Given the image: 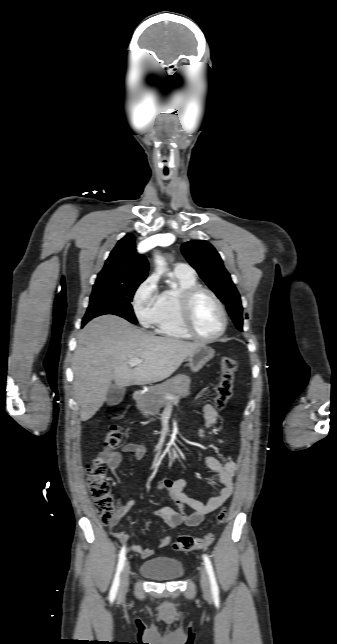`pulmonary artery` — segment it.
<instances>
[{
	"label": "pulmonary artery",
	"instance_id": "pulmonary-artery-1",
	"mask_svg": "<svg viewBox=\"0 0 337 644\" xmlns=\"http://www.w3.org/2000/svg\"><path fill=\"white\" fill-rule=\"evenodd\" d=\"M175 271L183 272V273H189V274H194L195 273L194 269L191 266H189L188 264H184V263H178L175 266Z\"/></svg>",
	"mask_w": 337,
	"mask_h": 644
}]
</instances>
